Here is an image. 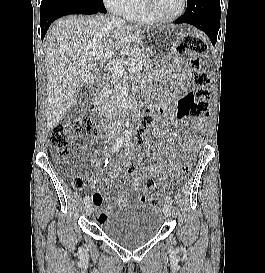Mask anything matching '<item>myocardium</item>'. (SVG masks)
Listing matches in <instances>:
<instances>
[{
	"mask_svg": "<svg viewBox=\"0 0 265 273\" xmlns=\"http://www.w3.org/2000/svg\"><path fill=\"white\" fill-rule=\"evenodd\" d=\"M141 5L144 12L153 23H168L179 19L185 13L187 8V0H182L181 8L178 13L170 17H161L156 15L150 7V0H141Z\"/></svg>",
	"mask_w": 265,
	"mask_h": 273,
	"instance_id": "1",
	"label": "myocardium"
}]
</instances>
